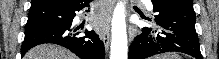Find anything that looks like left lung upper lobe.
<instances>
[{
    "label": "left lung upper lobe",
    "mask_w": 219,
    "mask_h": 59,
    "mask_svg": "<svg viewBox=\"0 0 219 59\" xmlns=\"http://www.w3.org/2000/svg\"><path fill=\"white\" fill-rule=\"evenodd\" d=\"M152 1H170V0H152ZM173 1V0H172Z\"/></svg>",
    "instance_id": "1"
}]
</instances>
